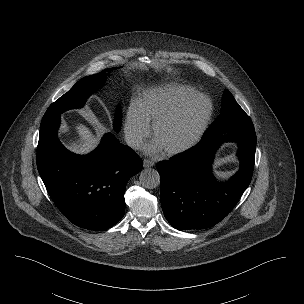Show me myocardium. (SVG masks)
Returning a JSON list of instances; mask_svg holds the SVG:
<instances>
[{"mask_svg":"<svg viewBox=\"0 0 304 304\" xmlns=\"http://www.w3.org/2000/svg\"><path fill=\"white\" fill-rule=\"evenodd\" d=\"M198 101L206 104V111H205V114L203 116V119H202L198 129L193 134V136L185 143L172 147V148L165 149V153L167 155L173 156V155L182 154V153L190 150L191 148H193L201 140V138L205 134V132L211 122V119H212L213 103L209 97H207L206 95H204L202 93L197 92V93L185 98L176 107H174L172 110L168 111L167 113H165L164 115L159 117L153 123L152 133H153V137L156 138L157 133L162 125H164L168 121H170V120L174 119L175 117H177L178 115H180L190 104H192L194 102H198Z\"/></svg>","mask_w":304,"mask_h":304,"instance_id":"1","label":"myocardium"}]
</instances>
